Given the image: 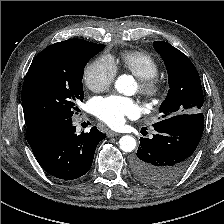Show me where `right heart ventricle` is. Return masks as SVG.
I'll return each mask as SVG.
<instances>
[{
    "instance_id": "e07e8e85",
    "label": "right heart ventricle",
    "mask_w": 224,
    "mask_h": 224,
    "mask_svg": "<svg viewBox=\"0 0 224 224\" xmlns=\"http://www.w3.org/2000/svg\"><path fill=\"white\" fill-rule=\"evenodd\" d=\"M119 63L124 70L138 79L155 77L160 71L157 60L149 53L140 50L123 51Z\"/></svg>"
}]
</instances>
